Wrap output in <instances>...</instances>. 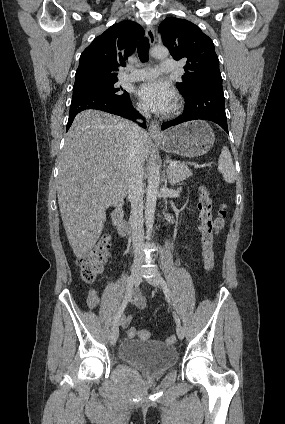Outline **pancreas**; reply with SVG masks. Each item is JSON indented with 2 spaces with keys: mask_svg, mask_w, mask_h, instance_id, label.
<instances>
[{
  "mask_svg": "<svg viewBox=\"0 0 285 424\" xmlns=\"http://www.w3.org/2000/svg\"><path fill=\"white\" fill-rule=\"evenodd\" d=\"M190 176H192V172L184 163H178L168 171V179L171 185H175Z\"/></svg>",
  "mask_w": 285,
  "mask_h": 424,
  "instance_id": "obj_1",
  "label": "pancreas"
}]
</instances>
